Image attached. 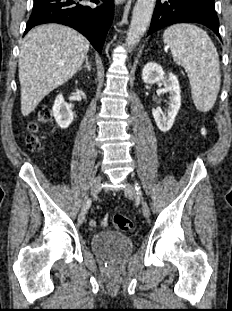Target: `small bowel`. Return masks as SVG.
Returning a JSON list of instances; mask_svg holds the SVG:
<instances>
[{"instance_id":"c3829d8e","label":"small bowel","mask_w":232,"mask_h":311,"mask_svg":"<svg viewBox=\"0 0 232 311\" xmlns=\"http://www.w3.org/2000/svg\"><path fill=\"white\" fill-rule=\"evenodd\" d=\"M90 225H91L92 227H95V226L97 225V221H96L95 219H91V220H90ZM101 225H102V226H106V225H107V220H106V219L102 220V221H101Z\"/></svg>"}]
</instances>
